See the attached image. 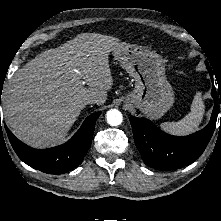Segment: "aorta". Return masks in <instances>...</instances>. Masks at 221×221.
Masks as SVG:
<instances>
[{
    "label": "aorta",
    "instance_id": "762f6f07",
    "mask_svg": "<svg viewBox=\"0 0 221 221\" xmlns=\"http://www.w3.org/2000/svg\"><path fill=\"white\" fill-rule=\"evenodd\" d=\"M106 118H107V122L111 126L120 125L122 123V120H123V116H122L121 112L117 109L109 110L106 114Z\"/></svg>",
    "mask_w": 221,
    "mask_h": 221
}]
</instances>
